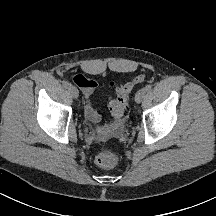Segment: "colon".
<instances>
[{
  "label": "colon",
  "mask_w": 216,
  "mask_h": 216,
  "mask_svg": "<svg viewBox=\"0 0 216 216\" xmlns=\"http://www.w3.org/2000/svg\"><path fill=\"white\" fill-rule=\"evenodd\" d=\"M81 78L80 75L76 76V80ZM144 80L142 75L134 77L131 81L120 85L116 90V98L109 103L111 114L117 121H121L124 118L128 96L134 86L141 83ZM118 162V155L112 151L100 152L95 157V163L97 166L103 169L113 167Z\"/></svg>",
  "instance_id": "colon-1"
}]
</instances>
